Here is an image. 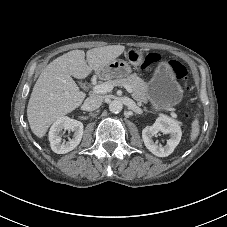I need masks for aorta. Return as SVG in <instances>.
I'll return each instance as SVG.
<instances>
[{
  "label": "aorta",
  "mask_w": 227,
  "mask_h": 227,
  "mask_svg": "<svg viewBox=\"0 0 227 227\" xmlns=\"http://www.w3.org/2000/svg\"><path fill=\"white\" fill-rule=\"evenodd\" d=\"M122 108H123V104L120 100H112L109 103V110L112 113H119L121 112Z\"/></svg>",
  "instance_id": "762f6f07"
}]
</instances>
